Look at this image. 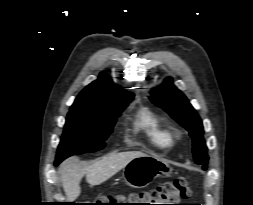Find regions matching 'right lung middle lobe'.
Listing matches in <instances>:
<instances>
[{"label":"right lung middle lobe","mask_w":253,"mask_h":205,"mask_svg":"<svg viewBox=\"0 0 253 205\" xmlns=\"http://www.w3.org/2000/svg\"><path fill=\"white\" fill-rule=\"evenodd\" d=\"M133 98L111 104L99 113L70 110L56 156V165L65 158L84 152H93L105 146L116 118Z\"/></svg>","instance_id":"right-lung-middle-lobe-1"}]
</instances>
